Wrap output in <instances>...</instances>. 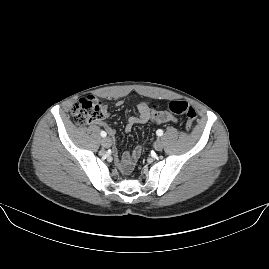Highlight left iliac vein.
<instances>
[{"mask_svg":"<svg viewBox=\"0 0 269 269\" xmlns=\"http://www.w3.org/2000/svg\"><path fill=\"white\" fill-rule=\"evenodd\" d=\"M154 148L157 151H161L163 149V141L161 139H158L154 144Z\"/></svg>","mask_w":269,"mask_h":269,"instance_id":"left-iliac-vein-1","label":"left iliac vein"}]
</instances>
